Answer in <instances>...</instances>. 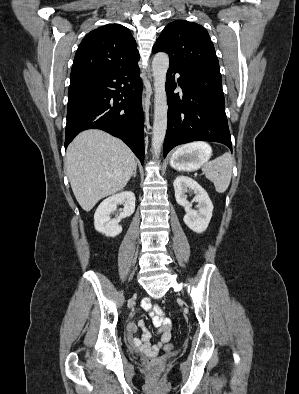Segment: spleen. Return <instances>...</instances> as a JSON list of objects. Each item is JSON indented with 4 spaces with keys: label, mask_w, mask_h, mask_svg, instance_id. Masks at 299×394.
I'll list each match as a JSON object with an SVG mask.
<instances>
[{
    "label": "spleen",
    "mask_w": 299,
    "mask_h": 394,
    "mask_svg": "<svg viewBox=\"0 0 299 394\" xmlns=\"http://www.w3.org/2000/svg\"><path fill=\"white\" fill-rule=\"evenodd\" d=\"M189 148L207 147L210 146L204 142H197L187 145ZM233 168V159L231 154L224 153L222 156L216 158L203 165L202 171L206 178L214 183L215 190L218 193H224L229 187Z\"/></svg>",
    "instance_id": "1"
}]
</instances>
